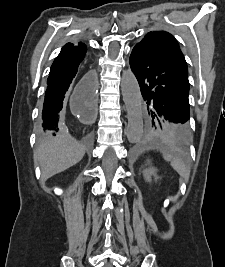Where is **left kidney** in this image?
<instances>
[{
  "instance_id": "left-kidney-1",
  "label": "left kidney",
  "mask_w": 225,
  "mask_h": 267,
  "mask_svg": "<svg viewBox=\"0 0 225 267\" xmlns=\"http://www.w3.org/2000/svg\"><path fill=\"white\" fill-rule=\"evenodd\" d=\"M150 163V162H148ZM144 179L147 182H151V177L154 176L155 180H157L159 177L157 176V170L154 167H149L143 171Z\"/></svg>"
}]
</instances>
